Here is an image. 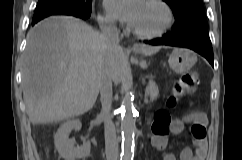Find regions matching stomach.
<instances>
[{
  "label": "stomach",
  "instance_id": "stomach-1",
  "mask_svg": "<svg viewBox=\"0 0 242 160\" xmlns=\"http://www.w3.org/2000/svg\"><path fill=\"white\" fill-rule=\"evenodd\" d=\"M197 61L193 51L185 48H175L169 56L170 68L179 74L187 73Z\"/></svg>",
  "mask_w": 242,
  "mask_h": 160
}]
</instances>
